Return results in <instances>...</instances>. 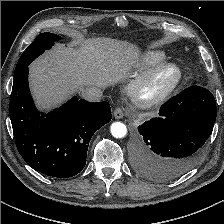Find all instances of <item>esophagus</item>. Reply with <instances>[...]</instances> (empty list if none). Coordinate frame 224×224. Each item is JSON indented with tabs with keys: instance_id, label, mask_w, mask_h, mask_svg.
<instances>
[{
	"instance_id": "obj_1",
	"label": "esophagus",
	"mask_w": 224,
	"mask_h": 224,
	"mask_svg": "<svg viewBox=\"0 0 224 224\" xmlns=\"http://www.w3.org/2000/svg\"><path fill=\"white\" fill-rule=\"evenodd\" d=\"M123 116H124L123 109L120 108V107H117V108L114 110V117H115L116 119H121Z\"/></svg>"
}]
</instances>
